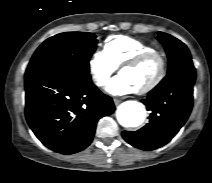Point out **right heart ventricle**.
<instances>
[{
    "label": "right heart ventricle",
    "mask_w": 212,
    "mask_h": 183,
    "mask_svg": "<svg viewBox=\"0 0 212 183\" xmlns=\"http://www.w3.org/2000/svg\"><path fill=\"white\" fill-rule=\"evenodd\" d=\"M155 48L144 41L128 36H111L104 42V52L111 59L116 67L121 66L126 61Z\"/></svg>",
    "instance_id": "right-heart-ventricle-1"
}]
</instances>
